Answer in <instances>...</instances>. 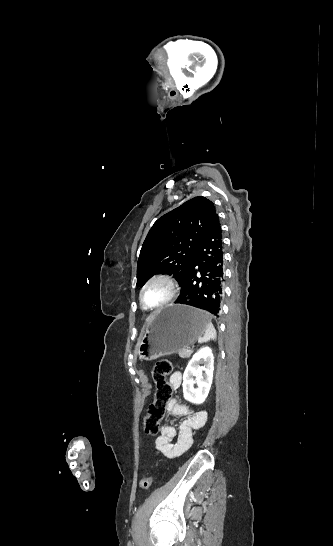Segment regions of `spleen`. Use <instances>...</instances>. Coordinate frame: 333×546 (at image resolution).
Masks as SVG:
<instances>
[{
	"instance_id": "spleen-1",
	"label": "spleen",
	"mask_w": 333,
	"mask_h": 546,
	"mask_svg": "<svg viewBox=\"0 0 333 546\" xmlns=\"http://www.w3.org/2000/svg\"><path fill=\"white\" fill-rule=\"evenodd\" d=\"M216 338H217V332H216L213 324L211 323V317H209V321H208V323L206 325L204 336L200 337L198 342L199 343H206V342H208L210 340L215 341Z\"/></svg>"
}]
</instances>
